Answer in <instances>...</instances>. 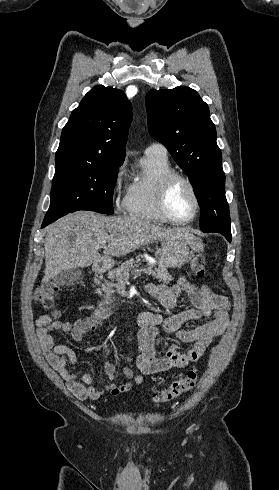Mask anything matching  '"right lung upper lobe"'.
<instances>
[{
  "label": "right lung upper lobe",
  "mask_w": 279,
  "mask_h": 490,
  "mask_svg": "<svg viewBox=\"0 0 279 490\" xmlns=\"http://www.w3.org/2000/svg\"><path fill=\"white\" fill-rule=\"evenodd\" d=\"M132 120L123 91L96 86L71 113L62 130L56 166L123 162Z\"/></svg>",
  "instance_id": "right-lung-upper-lobe-1"
}]
</instances>
